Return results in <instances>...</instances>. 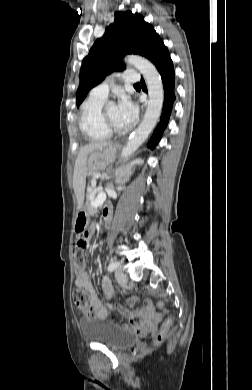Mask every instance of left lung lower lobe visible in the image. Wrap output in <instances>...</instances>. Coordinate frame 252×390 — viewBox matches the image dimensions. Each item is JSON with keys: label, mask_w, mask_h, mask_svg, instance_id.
Wrapping results in <instances>:
<instances>
[{"label": "left lung lower lobe", "mask_w": 252, "mask_h": 390, "mask_svg": "<svg viewBox=\"0 0 252 390\" xmlns=\"http://www.w3.org/2000/svg\"><path fill=\"white\" fill-rule=\"evenodd\" d=\"M149 60L156 66L161 75L164 88V103L160 122L148 142V147L154 149L162 137V133L167 127L173 104L175 101V72L173 62L170 58L168 48L163 41H159L154 47ZM142 89L147 91L144 81H141Z\"/></svg>", "instance_id": "obj_1"}]
</instances>
